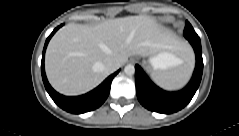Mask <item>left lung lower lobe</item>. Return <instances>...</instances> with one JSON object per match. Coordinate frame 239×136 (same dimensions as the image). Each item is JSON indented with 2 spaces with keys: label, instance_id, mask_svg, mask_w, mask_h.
<instances>
[{
  "label": "left lung lower lobe",
  "instance_id": "1",
  "mask_svg": "<svg viewBox=\"0 0 239 136\" xmlns=\"http://www.w3.org/2000/svg\"><path fill=\"white\" fill-rule=\"evenodd\" d=\"M196 55V67L189 84L177 92H167L157 87L139 65L135 66V83L137 98L148 110L170 114L184 108L193 98L201 82L203 58L200 38L187 39Z\"/></svg>",
  "mask_w": 239,
  "mask_h": 136
}]
</instances>
